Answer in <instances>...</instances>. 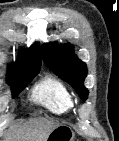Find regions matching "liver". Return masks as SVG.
I'll return each instance as SVG.
<instances>
[{
    "instance_id": "1",
    "label": "liver",
    "mask_w": 119,
    "mask_h": 141,
    "mask_svg": "<svg viewBox=\"0 0 119 141\" xmlns=\"http://www.w3.org/2000/svg\"><path fill=\"white\" fill-rule=\"evenodd\" d=\"M60 123L42 117L33 118L24 123L20 130L21 137H14L12 141H46L48 135L58 127ZM24 139V140H16Z\"/></svg>"
}]
</instances>
